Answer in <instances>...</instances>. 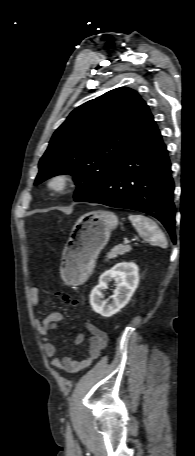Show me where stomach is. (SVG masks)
I'll use <instances>...</instances> for the list:
<instances>
[{"label": "stomach", "mask_w": 195, "mask_h": 456, "mask_svg": "<svg viewBox=\"0 0 195 456\" xmlns=\"http://www.w3.org/2000/svg\"><path fill=\"white\" fill-rule=\"evenodd\" d=\"M117 226L118 217L104 210L86 213L76 221L63 250L65 281L78 285L91 275L100 251Z\"/></svg>", "instance_id": "obj_1"}]
</instances>
